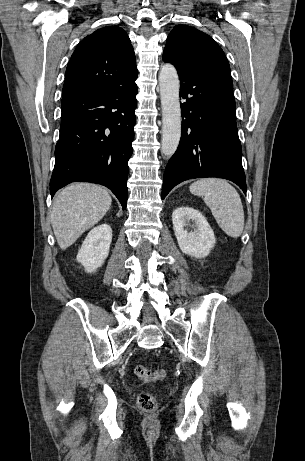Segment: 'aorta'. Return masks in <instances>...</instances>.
<instances>
[{
    "mask_svg": "<svg viewBox=\"0 0 305 461\" xmlns=\"http://www.w3.org/2000/svg\"><path fill=\"white\" fill-rule=\"evenodd\" d=\"M158 79L163 123L161 153L170 158L175 153L181 137L180 82L175 67L169 63L161 67Z\"/></svg>",
    "mask_w": 305,
    "mask_h": 461,
    "instance_id": "aorta-1",
    "label": "aorta"
}]
</instances>
